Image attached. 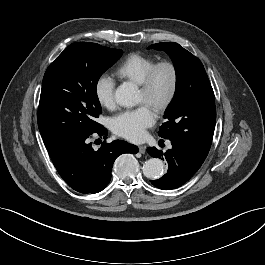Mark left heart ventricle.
Here are the masks:
<instances>
[{
    "instance_id": "left-heart-ventricle-1",
    "label": "left heart ventricle",
    "mask_w": 265,
    "mask_h": 265,
    "mask_svg": "<svg viewBox=\"0 0 265 265\" xmlns=\"http://www.w3.org/2000/svg\"><path fill=\"white\" fill-rule=\"evenodd\" d=\"M171 83V74L167 68H162L158 71L154 83V91L151 100H148L147 97L141 92L139 93V102L145 103L152 107L153 101L161 100L168 92Z\"/></svg>"
}]
</instances>
